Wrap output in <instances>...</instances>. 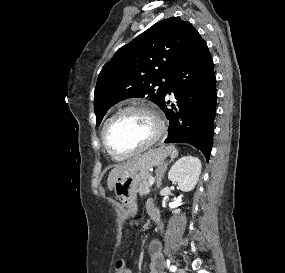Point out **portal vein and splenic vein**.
Returning a JSON list of instances; mask_svg holds the SVG:
<instances>
[{"label": "portal vein and splenic vein", "mask_w": 285, "mask_h": 273, "mask_svg": "<svg viewBox=\"0 0 285 273\" xmlns=\"http://www.w3.org/2000/svg\"><path fill=\"white\" fill-rule=\"evenodd\" d=\"M155 182V178L154 177H151L150 178V182H149V185L152 186Z\"/></svg>", "instance_id": "18ae733b"}]
</instances>
